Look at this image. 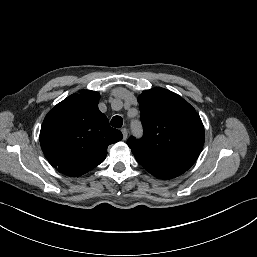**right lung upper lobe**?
Returning a JSON list of instances; mask_svg holds the SVG:
<instances>
[{"label":"right lung upper lobe","instance_id":"obj_1","mask_svg":"<svg viewBox=\"0 0 257 257\" xmlns=\"http://www.w3.org/2000/svg\"><path fill=\"white\" fill-rule=\"evenodd\" d=\"M99 98V93L90 90L72 94L43 121L41 148L51 165L65 175L87 173L104 161L110 144L123 138L99 111Z\"/></svg>","mask_w":257,"mask_h":257}]
</instances>
